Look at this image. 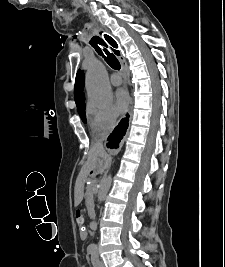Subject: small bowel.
Instances as JSON below:
<instances>
[{
	"label": "small bowel",
	"mask_w": 225,
	"mask_h": 267,
	"mask_svg": "<svg viewBox=\"0 0 225 267\" xmlns=\"http://www.w3.org/2000/svg\"><path fill=\"white\" fill-rule=\"evenodd\" d=\"M81 236H84V233H81Z\"/></svg>",
	"instance_id": "small-bowel-1"
}]
</instances>
